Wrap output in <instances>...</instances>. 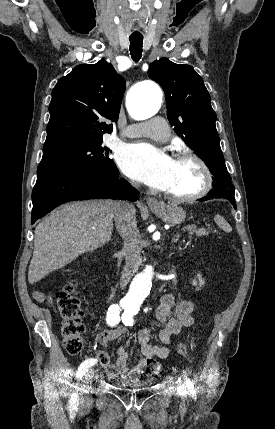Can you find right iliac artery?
<instances>
[{"label":"right iliac artery","instance_id":"82829eb1","mask_svg":"<svg viewBox=\"0 0 275 429\" xmlns=\"http://www.w3.org/2000/svg\"><path fill=\"white\" fill-rule=\"evenodd\" d=\"M122 308H124V305H118V304H113L108 308L106 321H107V324L109 326L114 327L119 323V321H120V315L119 314H120V311ZM95 363H96V360L93 358L87 359L84 362H82L78 368V371L76 373V377L78 379H81L82 376L88 370V368L93 366ZM77 402H78V395L76 393H73L71 396V399H70L71 407H73V408L76 407Z\"/></svg>","mask_w":275,"mask_h":429}]
</instances>
